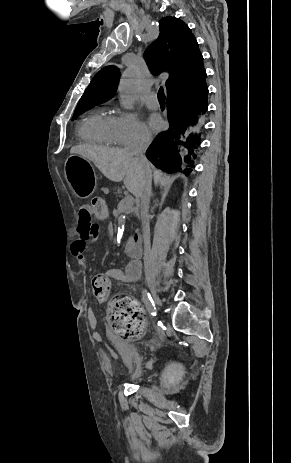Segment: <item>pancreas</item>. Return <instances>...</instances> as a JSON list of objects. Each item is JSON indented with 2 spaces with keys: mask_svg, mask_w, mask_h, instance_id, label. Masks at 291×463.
Returning <instances> with one entry per match:
<instances>
[{
  "mask_svg": "<svg viewBox=\"0 0 291 463\" xmlns=\"http://www.w3.org/2000/svg\"><path fill=\"white\" fill-rule=\"evenodd\" d=\"M113 192H114V195H115L117 198H118V197H120V198L123 197L122 191H121L119 188L114 187V188H113Z\"/></svg>",
  "mask_w": 291,
  "mask_h": 463,
  "instance_id": "obj_1",
  "label": "pancreas"
}]
</instances>
